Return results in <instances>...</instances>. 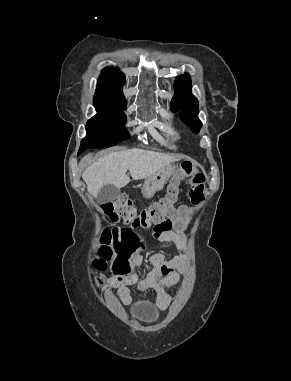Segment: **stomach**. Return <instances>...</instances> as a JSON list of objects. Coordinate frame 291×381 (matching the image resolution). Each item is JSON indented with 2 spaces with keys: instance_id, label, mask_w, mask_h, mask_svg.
Here are the masks:
<instances>
[{
  "instance_id": "1",
  "label": "stomach",
  "mask_w": 291,
  "mask_h": 381,
  "mask_svg": "<svg viewBox=\"0 0 291 381\" xmlns=\"http://www.w3.org/2000/svg\"><path fill=\"white\" fill-rule=\"evenodd\" d=\"M180 172L178 166L168 165L152 176L145 179L142 194L145 198H152L157 191H161L168 179Z\"/></svg>"
}]
</instances>
